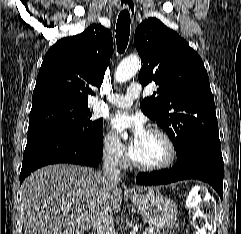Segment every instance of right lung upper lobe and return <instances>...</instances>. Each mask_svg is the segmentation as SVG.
I'll use <instances>...</instances> for the list:
<instances>
[{
    "mask_svg": "<svg viewBox=\"0 0 241 234\" xmlns=\"http://www.w3.org/2000/svg\"><path fill=\"white\" fill-rule=\"evenodd\" d=\"M113 49L111 32L93 24L57 41L46 53L37 76L32 106L51 101L88 104L90 86H101Z\"/></svg>",
    "mask_w": 241,
    "mask_h": 234,
    "instance_id": "right-lung-upper-lobe-1",
    "label": "right lung upper lobe"
}]
</instances>
